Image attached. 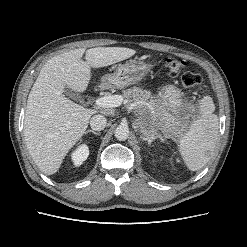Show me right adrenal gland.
Instances as JSON below:
<instances>
[{
	"label": "right adrenal gland",
	"mask_w": 247,
	"mask_h": 247,
	"mask_svg": "<svg viewBox=\"0 0 247 247\" xmlns=\"http://www.w3.org/2000/svg\"><path fill=\"white\" fill-rule=\"evenodd\" d=\"M88 133H93L94 135H100V132H96L94 130H87V131H85V134H88Z\"/></svg>",
	"instance_id": "right-adrenal-gland-1"
}]
</instances>
